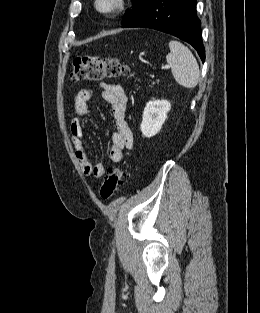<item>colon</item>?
<instances>
[{"instance_id": "colon-1", "label": "colon", "mask_w": 260, "mask_h": 313, "mask_svg": "<svg viewBox=\"0 0 260 313\" xmlns=\"http://www.w3.org/2000/svg\"><path fill=\"white\" fill-rule=\"evenodd\" d=\"M130 75L129 66L117 58L83 56L74 59L70 76L73 81H100ZM128 177L129 172L126 169H112L101 185V198L110 199Z\"/></svg>"}]
</instances>
